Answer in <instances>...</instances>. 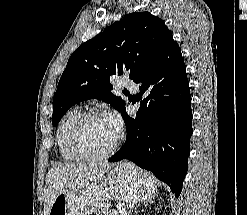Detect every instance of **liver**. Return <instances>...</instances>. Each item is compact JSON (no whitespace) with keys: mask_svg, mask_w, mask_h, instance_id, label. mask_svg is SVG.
I'll use <instances>...</instances> for the list:
<instances>
[{"mask_svg":"<svg viewBox=\"0 0 247 215\" xmlns=\"http://www.w3.org/2000/svg\"><path fill=\"white\" fill-rule=\"evenodd\" d=\"M114 164L90 162L77 164H53L45 179L44 215H48L55 198L63 193H82L104 179Z\"/></svg>","mask_w":247,"mask_h":215,"instance_id":"obj_1","label":"liver"}]
</instances>
